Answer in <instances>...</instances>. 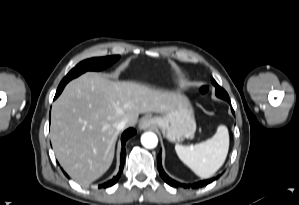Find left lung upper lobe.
I'll return each mask as SVG.
<instances>
[{
    "mask_svg": "<svg viewBox=\"0 0 299 205\" xmlns=\"http://www.w3.org/2000/svg\"><path fill=\"white\" fill-rule=\"evenodd\" d=\"M212 83L216 87L215 92H216L217 97H219V98H229L227 92L223 88L218 86L217 83L215 82V80H212Z\"/></svg>",
    "mask_w": 299,
    "mask_h": 205,
    "instance_id": "left-lung-upper-lobe-1",
    "label": "left lung upper lobe"
}]
</instances>
